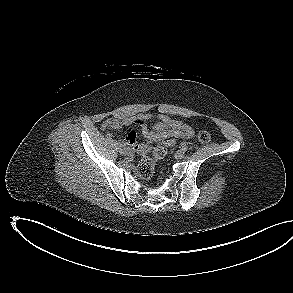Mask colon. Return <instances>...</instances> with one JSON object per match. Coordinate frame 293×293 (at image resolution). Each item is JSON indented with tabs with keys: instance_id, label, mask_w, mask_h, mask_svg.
Instances as JSON below:
<instances>
[{
	"instance_id": "colon-1",
	"label": "colon",
	"mask_w": 293,
	"mask_h": 293,
	"mask_svg": "<svg viewBox=\"0 0 293 293\" xmlns=\"http://www.w3.org/2000/svg\"><path fill=\"white\" fill-rule=\"evenodd\" d=\"M198 140L202 144L211 141V135L206 131L198 134ZM175 146V142L169 139L162 141L152 152L151 156L144 157L138 165V174L143 179H149L154 173L155 161L166 156Z\"/></svg>"
}]
</instances>
